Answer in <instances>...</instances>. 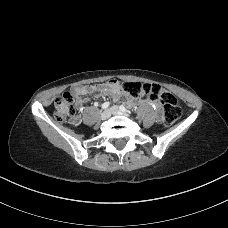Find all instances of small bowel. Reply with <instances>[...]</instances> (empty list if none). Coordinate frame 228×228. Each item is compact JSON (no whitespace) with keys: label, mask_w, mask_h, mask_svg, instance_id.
Returning <instances> with one entry per match:
<instances>
[{"label":"small bowel","mask_w":228,"mask_h":228,"mask_svg":"<svg viewBox=\"0 0 228 228\" xmlns=\"http://www.w3.org/2000/svg\"><path fill=\"white\" fill-rule=\"evenodd\" d=\"M71 92L75 97L77 105H81L86 102L83 96L95 93L97 96H110L114 101L119 100L123 96H126L124 91L121 89L117 80H110L106 83L95 84V85H77L71 88ZM128 103H136L135 99L128 97ZM150 103L157 109L160 108V104L156 101H150ZM78 118L73 119V123H77Z\"/></svg>","instance_id":"1"}]
</instances>
